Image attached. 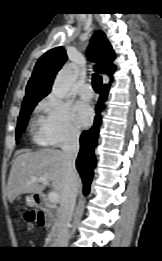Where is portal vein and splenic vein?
Listing matches in <instances>:
<instances>
[{
  "label": "portal vein and splenic vein",
  "instance_id": "1",
  "mask_svg": "<svg viewBox=\"0 0 162 261\" xmlns=\"http://www.w3.org/2000/svg\"><path fill=\"white\" fill-rule=\"evenodd\" d=\"M32 182H40L42 183L43 185L47 186L49 181L46 177H32L31 178ZM48 200L51 202V203H57L59 201V195L58 193L56 192H50L48 194Z\"/></svg>",
  "mask_w": 162,
  "mask_h": 261
}]
</instances>
